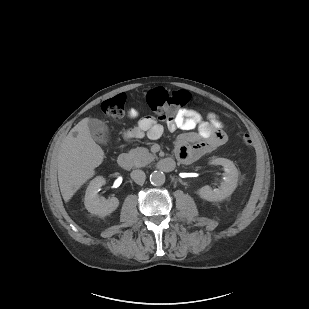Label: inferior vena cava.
Masks as SVG:
<instances>
[{
	"label": "inferior vena cava",
	"mask_w": 309,
	"mask_h": 309,
	"mask_svg": "<svg viewBox=\"0 0 309 309\" xmlns=\"http://www.w3.org/2000/svg\"><path fill=\"white\" fill-rule=\"evenodd\" d=\"M130 175H131V178L139 185L145 182L146 175L144 171L142 170H139V169L133 170Z\"/></svg>",
	"instance_id": "obj_1"
}]
</instances>
